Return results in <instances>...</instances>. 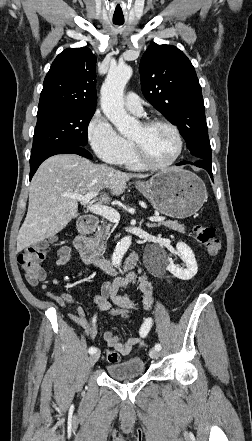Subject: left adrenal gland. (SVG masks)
<instances>
[{
	"instance_id": "left-adrenal-gland-1",
	"label": "left adrenal gland",
	"mask_w": 252,
	"mask_h": 441,
	"mask_svg": "<svg viewBox=\"0 0 252 441\" xmlns=\"http://www.w3.org/2000/svg\"><path fill=\"white\" fill-rule=\"evenodd\" d=\"M147 226H148V228H155V227H157V225L156 224H147Z\"/></svg>"
}]
</instances>
